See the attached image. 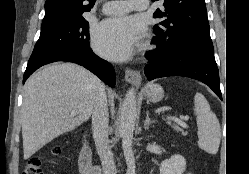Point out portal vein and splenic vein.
I'll return each mask as SVG.
<instances>
[{
  "label": "portal vein and splenic vein",
  "mask_w": 249,
  "mask_h": 174,
  "mask_svg": "<svg viewBox=\"0 0 249 174\" xmlns=\"http://www.w3.org/2000/svg\"><path fill=\"white\" fill-rule=\"evenodd\" d=\"M76 113H77L76 111L72 112V114H76ZM167 119L181 125L184 128H187L185 121H187L189 119V117L184 116V117L177 118V117H173V116H168Z\"/></svg>",
  "instance_id": "obj_1"
}]
</instances>
